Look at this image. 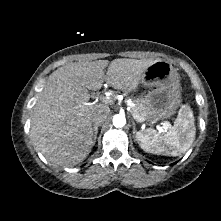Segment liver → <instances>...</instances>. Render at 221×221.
<instances>
[{"label": "liver", "instance_id": "6515ba94", "mask_svg": "<svg viewBox=\"0 0 221 221\" xmlns=\"http://www.w3.org/2000/svg\"><path fill=\"white\" fill-rule=\"evenodd\" d=\"M157 60L120 58L110 63L86 61L58 68L49 76L33 107L30 136L37 149L59 166L82 162L94 145L92 113L98 108L110 112L106 103L88 102L89 90L101 89L106 81L125 93L135 91L143 73Z\"/></svg>", "mask_w": 221, "mask_h": 221}]
</instances>
